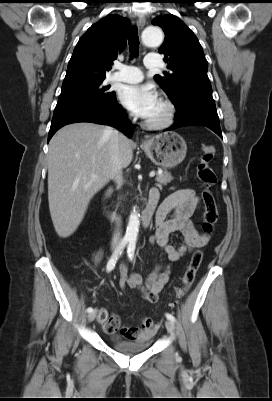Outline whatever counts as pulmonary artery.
Segmentation results:
<instances>
[{
  "label": "pulmonary artery",
  "instance_id": "obj_1",
  "mask_svg": "<svg viewBox=\"0 0 272 401\" xmlns=\"http://www.w3.org/2000/svg\"><path fill=\"white\" fill-rule=\"evenodd\" d=\"M144 65L147 68H156L159 66V59L156 55H148L144 60ZM115 72L110 76L111 81L122 83H136L142 80L143 73L140 69L134 66L125 65L122 63L114 64Z\"/></svg>",
  "mask_w": 272,
  "mask_h": 401
}]
</instances>
